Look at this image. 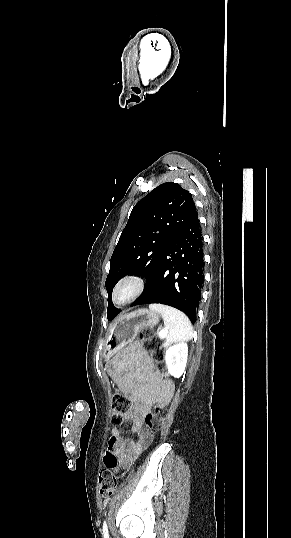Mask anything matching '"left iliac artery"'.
Segmentation results:
<instances>
[{"label": "left iliac artery", "mask_w": 291, "mask_h": 538, "mask_svg": "<svg viewBox=\"0 0 291 538\" xmlns=\"http://www.w3.org/2000/svg\"><path fill=\"white\" fill-rule=\"evenodd\" d=\"M103 535L104 538H109L108 527L106 521L103 523Z\"/></svg>", "instance_id": "obj_1"}]
</instances>
